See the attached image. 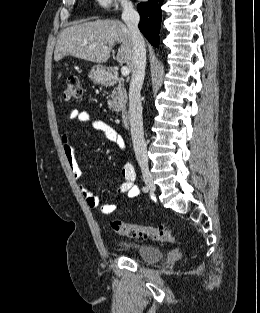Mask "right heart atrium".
<instances>
[{
    "instance_id": "obj_1",
    "label": "right heart atrium",
    "mask_w": 260,
    "mask_h": 313,
    "mask_svg": "<svg viewBox=\"0 0 260 313\" xmlns=\"http://www.w3.org/2000/svg\"><path fill=\"white\" fill-rule=\"evenodd\" d=\"M96 5L103 10L118 9L129 10L131 3L128 0H95Z\"/></svg>"
}]
</instances>
